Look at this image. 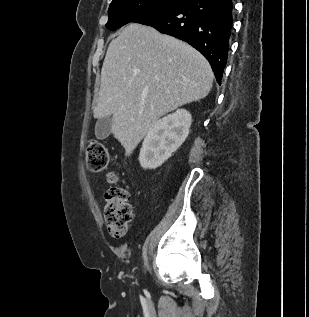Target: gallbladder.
I'll list each match as a JSON object with an SVG mask.
<instances>
[{
  "mask_svg": "<svg viewBox=\"0 0 309 317\" xmlns=\"http://www.w3.org/2000/svg\"><path fill=\"white\" fill-rule=\"evenodd\" d=\"M112 117L107 116L97 120L95 125V135L98 139H106L111 132Z\"/></svg>",
  "mask_w": 309,
  "mask_h": 317,
  "instance_id": "obj_1",
  "label": "gallbladder"
}]
</instances>
